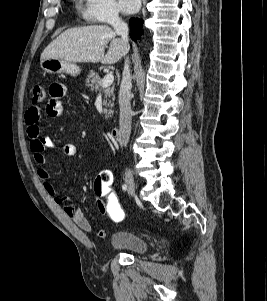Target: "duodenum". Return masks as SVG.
Listing matches in <instances>:
<instances>
[{"label": "duodenum", "mask_w": 267, "mask_h": 301, "mask_svg": "<svg viewBox=\"0 0 267 301\" xmlns=\"http://www.w3.org/2000/svg\"><path fill=\"white\" fill-rule=\"evenodd\" d=\"M111 137L113 139H119L120 138V135H121V130L119 127H114L111 129Z\"/></svg>", "instance_id": "1"}]
</instances>
